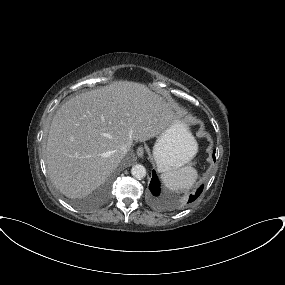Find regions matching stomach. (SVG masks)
Here are the masks:
<instances>
[{
    "label": "stomach",
    "instance_id": "stomach-1",
    "mask_svg": "<svg viewBox=\"0 0 285 285\" xmlns=\"http://www.w3.org/2000/svg\"><path fill=\"white\" fill-rule=\"evenodd\" d=\"M197 144L182 124L163 133L154 147V158L159 169L174 171L187 164L196 154Z\"/></svg>",
    "mask_w": 285,
    "mask_h": 285
}]
</instances>
